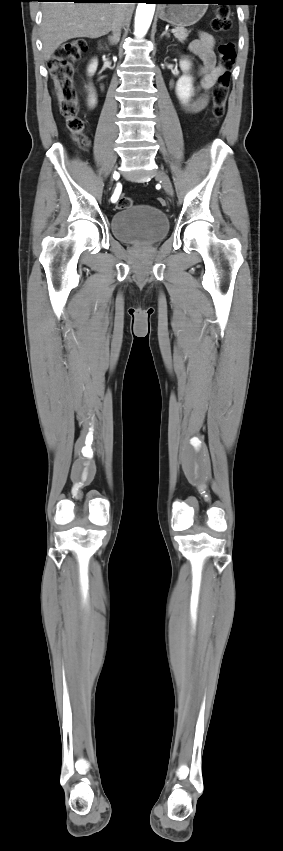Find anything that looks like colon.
<instances>
[{"label": "colon", "mask_w": 283, "mask_h": 851, "mask_svg": "<svg viewBox=\"0 0 283 851\" xmlns=\"http://www.w3.org/2000/svg\"><path fill=\"white\" fill-rule=\"evenodd\" d=\"M231 27L230 9L226 6L218 7L212 20V28L216 32L224 34ZM86 50L87 44L84 39H72L60 45L47 61V68L56 90L60 113L65 119L67 131L81 148H86L89 141L84 133V122L78 113V95L73 81V73L74 63L82 57ZM218 52L221 73L212 95L213 124H216L225 113L230 89L231 69L236 58V48L233 42L221 38L218 44ZM157 202L160 206L166 205L163 198H158ZM132 203L129 197L119 195L115 206L117 209H125L130 207Z\"/></svg>", "instance_id": "obj_1"}]
</instances>
